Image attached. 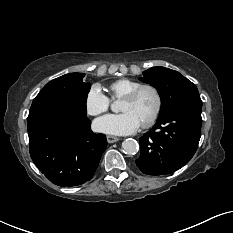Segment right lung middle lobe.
<instances>
[{
	"label": "right lung middle lobe",
	"mask_w": 233,
	"mask_h": 233,
	"mask_svg": "<svg viewBox=\"0 0 233 233\" xmlns=\"http://www.w3.org/2000/svg\"><path fill=\"white\" fill-rule=\"evenodd\" d=\"M84 73H70L47 83L34 98L30 112L45 105H65L86 114L90 83L83 82Z\"/></svg>",
	"instance_id": "1"
}]
</instances>
